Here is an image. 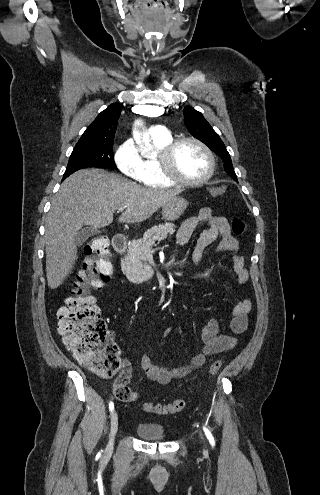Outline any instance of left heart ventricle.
Listing matches in <instances>:
<instances>
[{"instance_id":"obj_1","label":"left heart ventricle","mask_w":320,"mask_h":495,"mask_svg":"<svg viewBox=\"0 0 320 495\" xmlns=\"http://www.w3.org/2000/svg\"><path fill=\"white\" fill-rule=\"evenodd\" d=\"M174 164L177 173L185 179H198L206 175L209 161L194 143H184L176 151Z\"/></svg>"}]
</instances>
